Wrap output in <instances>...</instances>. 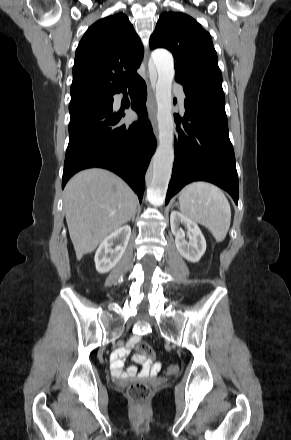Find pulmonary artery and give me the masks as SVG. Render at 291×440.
<instances>
[{
	"label": "pulmonary artery",
	"mask_w": 291,
	"mask_h": 440,
	"mask_svg": "<svg viewBox=\"0 0 291 440\" xmlns=\"http://www.w3.org/2000/svg\"><path fill=\"white\" fill-rule=\"evenodd\" d=\"M174 94L178 97L180 102L184 99V91L181 86L175 85L173 89Z\"/></svg>",
	"instance_id": "pulmonary-artery-1"
}]
</instances>
